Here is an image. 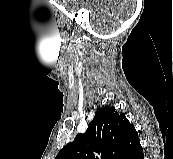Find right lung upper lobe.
I'll list each match as a JSON object with an SVG mask.
<instances>
[{"label":"right lung upper lobe","instance_id":"1","mask_svg":"<svg viewBox=\"0 0 173 159\" xmlns=\"http://www.w3.org/2000/svg\"><path fill=\"white\" fill-rule=\"evenodd\" d=\"M142 149L137 131L125 114L103 107L84 134H78L55 159H129Z\"/></svg>","mask_w":173,"mask_h":159}]
</instances>
